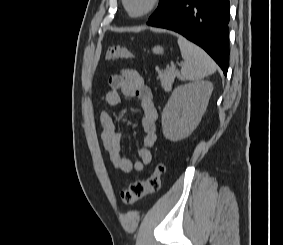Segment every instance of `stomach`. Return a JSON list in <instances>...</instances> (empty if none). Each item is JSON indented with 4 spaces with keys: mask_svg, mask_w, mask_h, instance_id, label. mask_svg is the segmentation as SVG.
I'll use <instances>...</instances> for the list:
<instances>
[{
    "mask_svg": "<svg viewBox=\"0 0 283 245\" xmlns=\"http://www.w3.org/2000/svg\"><path fill=\"white\" fill-rule=\"evenodd\" d=\"M153 53H155V54H162L163 53V48L160 47V46H155L153 48Z\"/></svg>",
    "mask_w": 283,
    "mask_h": 245,
    "instance_id": "stomach-1",
    "label": "stomach"
}]
</instances>
